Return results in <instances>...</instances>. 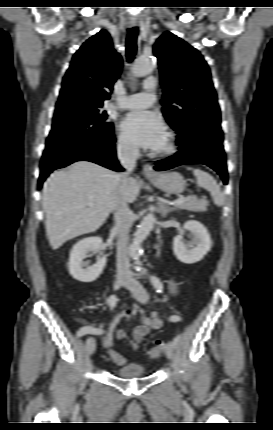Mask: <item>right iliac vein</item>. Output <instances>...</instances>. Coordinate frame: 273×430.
Returning a JSON list of instances; mask_svg holds the SVG:
<instances>
[{
    "label": "right iliac vein",
    "instance_id": "1",
    "mask_svg": "<svg viewBox=\"0 0 273 430\" xmlns=\"http://www.w3.org/2000/svg\"><path fill=\"white\" fill-rule=\"evenodd\" d=\"M127 283V279L123 277H117L114 282V290L119 289L122 285ZM86 349L89 355H92L96 349L95 340L92 338L90 342L86 343Z\"/></svg>",
    "mask_w": 273,
    "mask_h": 430
}]
</instances>
